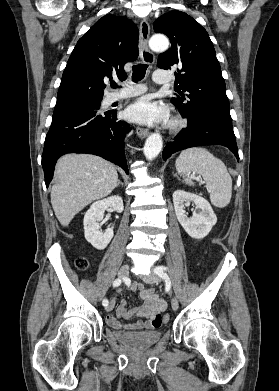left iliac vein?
<instances>
[{
  "instance_id": "1",
  "label": "left iliac vein",
  "mask_w": 279,
  "mask_h": 391,
  "mask_svg": "<svg viewBox=\"0 0 279 391\" xmlns=\"http://www.w3.org/2000/svg\"><path fill=\"white\" fill-rule=\"evenodd\" d=\"M144 282L149 284L159 283L160 278L157 275H149L143 277ZM171 307L174 311L178 310L179 303L176 297H173L171 300Z\"/></svg>"
}]
</instances>
